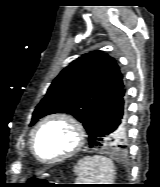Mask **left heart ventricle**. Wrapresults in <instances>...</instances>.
I'll list each match as a JSON object with an SVG mask.
<instances>
[{
  "label": "left heart ventricle",
  "instance_id": "1",
  "mask_svg": "<svg viewBox=\"0 0 160 187\" xmlns=\"http://www.w3.org/2000/svg\"><path fill=\"white\" fill-rule=\"evenodd\" d=\"M76 142L72 128L64 122L46 124L36 139L37 153L44 159L56 158L69 151Z\"/></svg>",
  "mask_w": 160,
  "mask_h": 187
}]
</instances>
